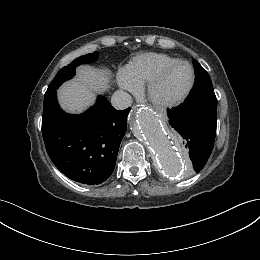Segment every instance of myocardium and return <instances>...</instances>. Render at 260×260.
Segmentation results:
<instances>
[{
    "label": "myocardium",
    "mask_w": 260,
    "mask_h": 260,
    "mask_svg": "<svg viewBox=\"0 0 260 260\" xmlns=\"http://www.w3.org/2000/svg\"><path fill=\"white\" fill-rule=\"evenodd\" d=\"M179 65H187L191 69L192 78L190 84L188 85L187 89L178 97L174 99L163 100L159 99L155 95L156 88L161 84L164 78L168 75L170 71L176 68ZM196 81V73L193 65L188 61L179 60L174 63H171L164 68H162L148 83L147 87V96L148 99L155 105L160 107H173L180 103H182L191 93Z\"/></svg>",
    "instance_id": "obj_1"
}]
</instances>
